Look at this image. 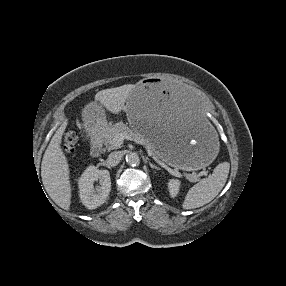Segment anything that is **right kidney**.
Segmentation results:
<instances>
[{
  "label": "right kidney",
  "mask_w": 286,
  "mask_h": 286,
  "mask_svg": "<svg viewBox=\"0 0 286 286\" xmlns=\"http://www.w3.org/2000/svg\"><path fill=\"white\" fill-rule=\"evenodd\" d=\"M99 180V185L94 189V182ZM81 202L88 209H95L102 205L108 198L111 190V179L108 170H99L89 166L82 173L78 181Z\"/></svg>",
  "instance_id": "obj_1"
}]
</instances>
